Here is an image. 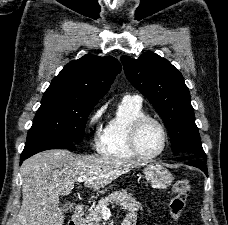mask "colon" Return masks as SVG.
Here are the masks:
<instances>
[{
  "instance_id": "colon-1",
  "label": "colon",
  "mask_w": 228,
  "mask_h": 225,
  "mask_svg": "<svg viewBox=\"0 0 228 225\" xmlns=\"http://www.w3.org/2000/svg\"><path fill=\"white\" fill-rule=\"evenodd\" d=\"M190 182L187 179H179L172 185V200L170 203V215L174 219H179L185 209V203L190 193Z\"/></svg>"
}]
</instances>
